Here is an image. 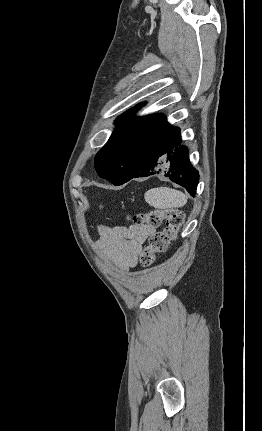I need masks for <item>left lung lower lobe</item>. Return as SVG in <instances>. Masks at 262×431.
I'll use <instances>...</instances> for the list:
<instances>
[{"label":"left lung lower lobe","mask_w":262,"mask_h":431,"mask_svg":"<svg viewBox=\"0 0 262 431\" xmlns=\"http://www.w3.org/2000/svg\"><path fill=\"white\" fill-rule=\"evenodd\" d=\"M188 149L181 145L180 130L175 128L157 137L145 149H139L132 162V178L163 173L166 177L183 186L195 196L199 173L189 161Z\"/></svg>","instance_id":"1"}]
</instances>
